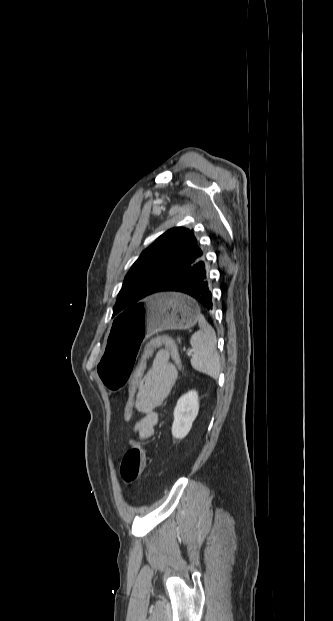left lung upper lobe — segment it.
Returning a JSON list of instances; mask_svg holds the SVG:
<instances>
[{
    "mask_svg": "<svg viewBox=\"0 0 333 621\" xmlns=\"http://www.w3.org/2000/svg\"><path fill=\"white\" fill-rule=\"evenodd\" d=\"M205 253L191 229L172 228L159 236L133 264L113 307V316L131 309L178 274L190 269Z\"/></svg>",
    "mask_w": 333,
    "mask_h": 621,
    "instance_id": "5c2ea615",
    "label": "left lung upper lobe"
}]
</instances>
